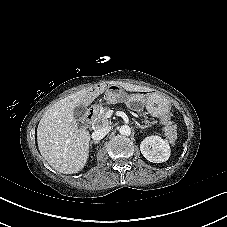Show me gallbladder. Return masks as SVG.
Listing matches in <instances>:
<instances>
[{
    "mask_svg": "<svg viewBox=\"0 0 227 227\" xmlns=\"http://www.w3.org/2000/svg\"><path fill=\"white\" fill-rule=\"evenodd\" d=\"M87 111V108L84 105H79L75 108L74 115L75 118L81 119Z\"/></svg>",
    "mask_w": 227,
    "mask_h": 227,
    "instance_id": "gallbladder-1",
    "label": "gallbladder"
}]
</instances>
